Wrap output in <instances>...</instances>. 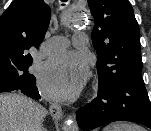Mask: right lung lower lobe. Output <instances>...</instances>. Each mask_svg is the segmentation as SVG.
I'll return each mask as SVG.
<instances>
[{
	"label": "right lung lower lobe",
	"instance_id": "obj_1",
	"mask_svg": "<svg viewBox=\"0 0 151 131\" xmlns=\"http://www.w3.org/2000/svg\"><path fill=\"white\" fill-rule=\"evenodd\" d=\"M14 90H19L23 94L33 99L38 100L41 98L36 86V79L34 76L20 80L18 82L8 81L5 77L0 76V92H8Z\"/></svg>",
	"mask_w": 151,
	"mask_h": 131
}]
</instances>
